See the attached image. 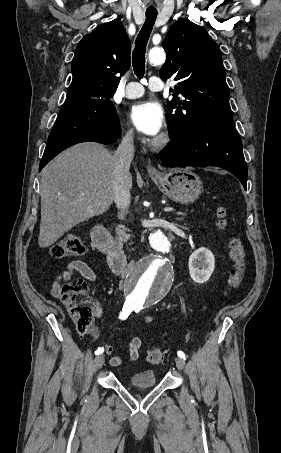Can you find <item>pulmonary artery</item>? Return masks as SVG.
<instances>
[{
	"label": "pulmonary artery",
	"instance_id": "obj_1",
	"mask_svg": "<svg viewBox=\"0 0 281 453\" xmlns=\"http://www.w3.org/2000/svg\"><path fill=\"white\" fill-rule=\"evenodd\" d=\"M149 89L152 91H159L163 89L162 82L157 77H151L149 79ZM124 96L129 99H134L144 94L143 86L138 82H130L124 90Z\"/></svg>",
	"mask_w": 281,
	"mask_h": 453
}]
</instances>
